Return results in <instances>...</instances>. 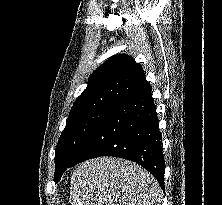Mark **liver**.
<instances>
[{"instance_id": "obj_1", "label": "liver", "mask_w": 222, "mask_h": 205, "mask_svg": "<svg viewBox=\"0 0 222 205\" xmlns=\"http://www.w3.org/2000/svg\"><path fill=\"white\" fill-rule=\"evenodd\" d=\"M71 205H161V188L138 164L100 157L78 165L71 176Z\"/></svg>"}]
</instances>
